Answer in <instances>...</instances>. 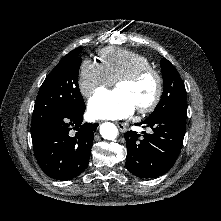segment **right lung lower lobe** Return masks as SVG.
Listing matches in <instances>:
<instances>
[{
  "instance_id": "1",
  "label": "right lung lower lobe",
  "mask_w": 221,
  "mask_h": 221,
  "mask_svg": "<svg viewBox=\"0 0 221 221\" xmlns=\"http://www.w3.org/2000/svg\"><path fill=\"white\" fill-rule=\"evenodd\" d=\"M85 108L57 115L31 132L40 168L56 180H70L87 167L97 123H82ZM76 130L75 136L71 130Z\"/></svg>"
}]
</instances>
